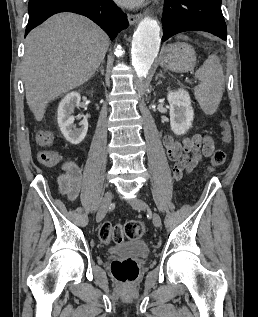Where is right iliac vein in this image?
<instances>
[{
  "mask_svg": "<svg viewBox=\"0 0 258 317\" xmlns=\"http://www.w3.org/2000/svg\"><path fill=\"white\" fill-rule=\"evenodd\" d=\"M113 194L112 192H105L103 199L100 202L98 210L95 213L98 222L104 221V216L107 215L108 210L111 207Z\"/></svg>",
  "mask_w": 258,
  "mask_h": 317,
  "instance_id": "right-iliac-vein-1",
  "label": "right iliac vein"
}]
</instances>
